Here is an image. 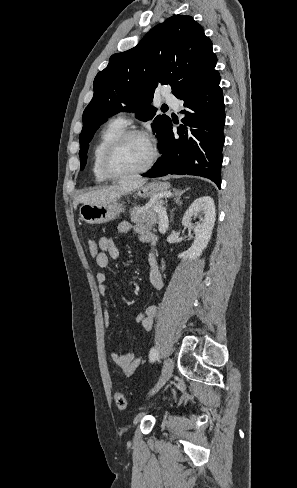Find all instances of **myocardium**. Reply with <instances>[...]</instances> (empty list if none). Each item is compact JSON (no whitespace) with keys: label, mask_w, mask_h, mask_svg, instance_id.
<instances>
[{"label":"myocardium","mask_w":297,"mask_h":488,"mask_svg":"<svg viewBox=\"0 0 297 488\" xmlns=\"http://www.w3.org/2000/svg\"><path fill=\"white\" fill-rule=\"evenodd\" d=\"M132 137H144L148 139L151 143V157L149 161L141 168L128 172V173H116L112 170L110 162L113 154L116 150L128 139ZM159 157V150L154 139L145 131L139 129H128L119 134L115 139H113L109 145L106 147L103 157H102V170L104 174L112 180H120L125 178H130L137 176L139 174L145 173L150 170L156 163Z\"/></svg>","instance_id":"obj_1"}]
</instances>
